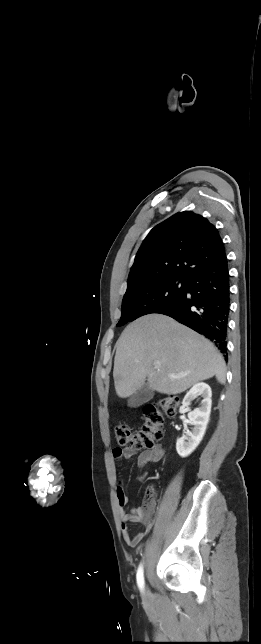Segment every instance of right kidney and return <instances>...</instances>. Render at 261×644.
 Masks as SVG:
<instances>
[{
  "label": "right kidney",
  "instance_id": "1",
  "mask_svg": "<svg viewBox=\"0 0 261 644\" xmlns=\"http://www.w3.org/2000/svg\"><path fill=\"white\" fill-rule=\"evenodd\" d=\"M197 396H201L203 398L200 407L188 414L190 423L194 427L191 431L184 430L183 436L179 438L176 443L177 453L181 457L189 456L196 449L203 439L209 422L212 391L210 386L206 383H197L189 390V392H187L182 402L183 408L185 410H189L191 401Z\"/></svg>",
  "mask_w": 261,
  "mask_h": 644
}]
</instances>
